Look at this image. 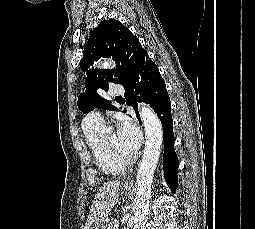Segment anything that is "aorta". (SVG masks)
I'll return each mask as SVG.
<instances>
[{
    "instance_id": "762f6f07",
    "label": "aorta",
    "mask_w": 255,
    "mask_h": 229,
    "mask_svg": "<svg viewBox=\"0 0 255 229\" xmlns=\"http://www.w3.org/2000/svg\"><path fill=\"white\" fill-rule=\"evenodd\" d=\"M101 66L104 68H112L113 63L109 60H105L101 63ZM139 112L145 130L146 142L136 176L137 194L134 225L132 229H144L151 197V185L154 171L159 160L163 142V127L157 114L144 103L139 105Z\"/></svg>"
}]
</instances>
